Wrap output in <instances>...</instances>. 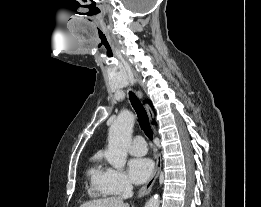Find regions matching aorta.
Instances as JSON below:
<instances>
[{
    "mask_svg": "<svg viewBox=\"0 0 261 207\" xmlns=\"http://www.w3.org/2000/svg\"><path fill=\"white\" fill-rule=\"evenodd\" d=\"M135 117L130 112H122L109 128L108 149L105 157L110 165L121 170L126 164L128 148L132 140ZM158 195L151 197L145 207H159Z\"/></svg>",
    "mask_w": 261,
    "mask_h": 207,
    "instance_id": "aorta-1",
    "label": "aorta"
}]
</instances>
